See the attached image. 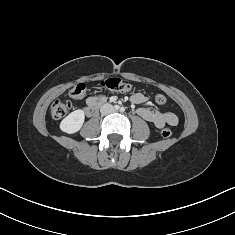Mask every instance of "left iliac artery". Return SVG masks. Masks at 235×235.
Wrapping results in <instances>:
<instances>
[{
    "mask_svg": "<svg viewBox=\"0 0 235 235\" xmlns=\"http://www.w3.org/2000/svg\"><path fill=\"white\" fill-rule=\"evenodd\" d=\"M120 111H121V112H124V111H125V108H124V107H121Z\"/></svg>",
    "mask_w": 235,
    "mask_h": 235,
    "instance_id": "left-iliac-artery-1",
    "label": "left iliac artery"
}]
</instances>
